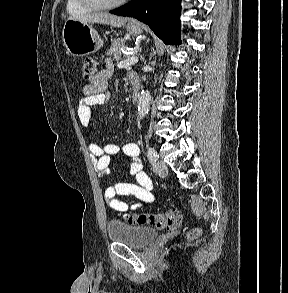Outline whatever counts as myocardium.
Returning a JSON list of instances; mask_svg holds the SVG:
<instances>
[{"label":"myocardium","instance_id":"obj_1","mask_svg":"<svg viewBox=\"0 0 288 293\" xmlns=\"http://www.w3.org/2000/svg\"><path fill=\"white\" fill-rule=\"evenodd\" d=\"M83 4L93 9H111L124 4L127 0L107 2L103 0H81Z\"/></svg>","mask_w":288,"mask_h":293}]
</instances>
